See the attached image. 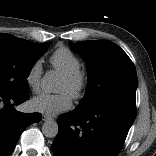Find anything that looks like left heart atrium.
<instances>
[{
  "instance_id": "1",
  "label": "left heart atrium",
  "mask_w": 156,
  "mask_h": 156,
  "mask_svg": "<svg viewBox=\"0 0 156 156\" xmlns=\"http://www.w3.org/2000/svg\"><path fill=\"white\" fill-rule=\"evenodd\" d=\"M71 96L65 92L59 94L43 93L31 100L34 111L54 116L71 108Z\"/></svg>"
}]
</instances>
